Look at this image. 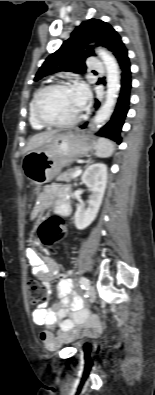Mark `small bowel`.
<instances>
[{
    "label": "small bowel",
    "mask_w": 155,
    "mask_h": 395,
    "mask_svg": "<svg viewBox=\"0 0 155 395\" xmlns=\"http://www.w3.org/2000/svg\"><path fill=\"white\" fill-rule=\"evenodd\" d=\"M70 187L62 184H52L45 188L37 210V215L54 209L64 215L69 211L68 201ZM26 258L33 276L42 284L48 294L51 292V282L58 280L57 295L61 301L47 308L46 304L39 305L32 314L33 322L43 326L40 339L47 349H55L73 339L96 333L101 325L96 316L84 309L80 297L73 293L69 273H61L59 264L49 256L40 255L35 250H26ZM84 323L83 326L79 324ZM58 326L57 332L55 328Z\"/></svg>",
    "instance_id": "1"
}]
</instances>
